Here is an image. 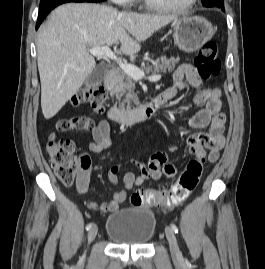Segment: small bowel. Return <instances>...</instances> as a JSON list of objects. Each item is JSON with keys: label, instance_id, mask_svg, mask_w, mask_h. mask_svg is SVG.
Returning a JSON list of instances; mask_svg holds the SVG:
<instances>
[{"label": "small bowel", "instance_id": "obj_1", "mask_svg": "<svg viewBox=\"0 0 265 269\" xmlns=\"http://www.w3.org/2000/svg\"><path fill=\"white\" fill-rule=\"evenodd\" d=\"M174 86L164 91L161 96V104L173 99L177 92L185 89L187 86L197 88L194 97L196 105H205V108L197 112L189 120V126L194 129L210 128L209 135L192 134L189 135L186 141V150L198 157L207 155L210 162H214L218 158L219 150L225 144L223 134V123L225 116L222 113V104L220 100V90L218 88H201L202 79L198 70L190 64L180 65L174 74ZM91 132V141L89 150L97 153L111 143V128L107 120H102L94 125L91 122L87 129ZM207 150L209 152L207 153ZM138 171L135 175L133 172H127L124 176V189L116 190L111 199L107 202L96 204L89 201L88 205L91 208H97L101 213H112L119 209L121 203L126 200L127 194L134 187L141 186L148 179L166 178L171 179L176 175L177 168L169 160V155L164 151L153 153L148 162L145 163L138 159L128 161ZM125 162L114 164L106 178L112 185L117 184V175L122 165ZM91 173V161L87 155L82 156V167L76 181L77 192L85 195L88 191L89 180Z\"/></svg>", "mask_w": 265, "mask_h": 269}]
</instances>
